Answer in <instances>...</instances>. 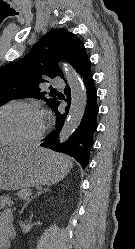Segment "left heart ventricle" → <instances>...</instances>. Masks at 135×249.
<instances>
[{"mask_svg": "<svg viewBox=\"0 0 135 249\" xmlns=\"http://www.w3.org/2000/svg\"><path fill=\"white\" fill-rule=\"evenodd\" d=\"M41 117L35 111L19 106L0 112V140L31 139L41 129Z\"/></svg>", "mask_w": 135, "mask_h": 249, "instance_id": "obj_1", "label": "left heart ventricle"}]
</instances>
